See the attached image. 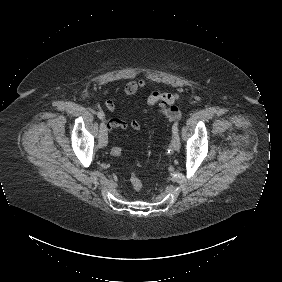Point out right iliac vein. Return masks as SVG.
<instances>
[{
	"mask_svg": "<svg viewBox=\"0 0 282 282\" xmlns=\"http://www.w3.org/2000/svg\"><path fill=\"white\" fill-rule=\"evenodd\" d=\"M108 142L107 126L104 121L100 124L99 143L100 146H106Z\"/></svg>",
	"mask_w": 282,
	"mask_h": 282,
	"instance_id": "1",
	"label": "right iliac vein"
}]
</instances>
